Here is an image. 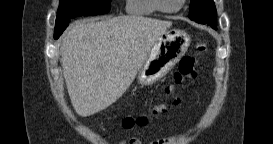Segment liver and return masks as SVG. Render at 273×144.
Wrapping results in <instances>:
<instances>
[{
  "label": "liver",
  "instance_id": "6515ba94",
  "mask_svg": "<svg viewBox=\"0 0 273 144\" xmlns=\"http://www.w3.org/2000/svg\"><path fill=\"white\" fill-rule=\"evenodd\" d=\"M170 21L119 16L77 21L60 47L63 75L72 106L87 117L115 103L129 88Z\"/></svg>",
  "mask_w": 273,
  "mask_h": 144
}]
</instances>
